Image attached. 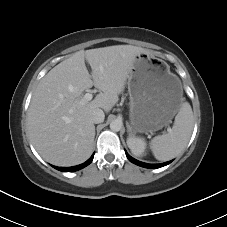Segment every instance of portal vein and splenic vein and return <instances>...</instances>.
<instances>
[{"label":"portal vein and splenic vein","instance_id":"portal-vein-and-splenic-vein-1","mask_svg":"<svg viewBox=\"0 0 227 227\" xmlns=\"http://www.w3.org/2000/svg\"><path fill=\"white\" fill-rule=\"evenodd\" d=\"M93 98L91 93H86L83 98L80 100L81 104H85L86 102L90 101Z\"/></svg>","mask_w":227,"mask_h":227}]
</instances>
